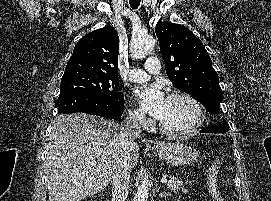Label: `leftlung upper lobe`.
Wrapping results in <instances>:
<instances>
[{"mask_svg":"<svg viewBox=\"0 0 271 201\" xmlns=\"http://www.w3.org/2000/svg\"><path fill=\"white\" fill-rule=\"evenodd\" d=\"M166 73L172 84L193 95L210 113L221 110L223 92L203 43L185 26L159 22L155 27ZM227 132L224 120L219 124Z\"/></svg>","mask_w":271,"mask_h":201,"instance_id":"obj_1","label":"left lung upper lobe"}]
</instances>
